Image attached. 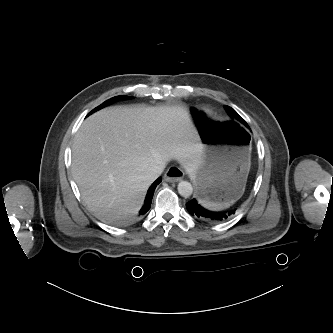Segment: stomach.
Listing matches in <instances>:
<instances>
[{
    "mask_svg": "<svg viewBox=\"0 0 333 333\" xmlns=\"http://www.w3.org/2000/svg\"><path fill=\"white\" fill-rule=\"evenodd\" d=\"M202 143V160L192 175L197 197L223 206L242 195L250 170L252 138L233 123L212 121L206 113L193 107Z\"/></svg>",
    "mask_w": 333,
    "mask_h": 333,
    "instance_id": "0dacf381",
    "label": "stomach"
}]
</instances>
